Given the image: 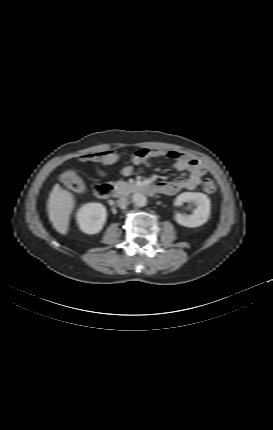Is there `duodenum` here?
Wrapping results in <instances>:
<instances>
[{
    "mask_svg": "<svg viewBox=\"0 0 273 430\" xmlns=\"http://www.w3.org/2000/svg\"><path fill=\"white\" fill-rule=\"evenodd\" d=\"M135 189L148 194H154L157 192L153 185H138ZM113 191V186L108 183H100L95 187V194L100 199H108L112 195Z\"/></svg>",
    "mask_w": 273,
    "mask_h": 430,
    "instance_id": "duodenum-1",
    "label": "duodenum"
}]
</instances>
